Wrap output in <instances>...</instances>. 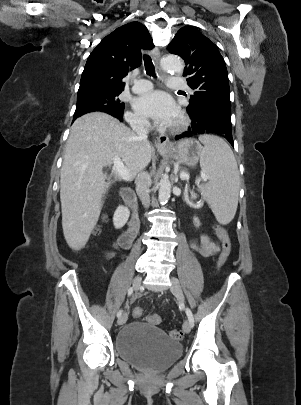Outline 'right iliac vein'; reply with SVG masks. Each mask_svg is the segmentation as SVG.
Segmentation results:
<instances>
[{
  "instance_id": "1",
  "label": "right iliac vein",
  "mask_w": 301,
  "mask_h": 405,
  "mask_svg": "<svg viewBox=\"0 0 301 405\" xmlns=\"http://www.w3.org/2000/svg\"><path fill=\"white\" fill-rule=\"evenodd\" d=\"M141 281H142V278H141L140 276H137V277L134 278V280H133V287H134V290H135V291H137V290L140 288V286H141ZM127 318H128V314H127V313L122 314V315L118 318V321H117L118 324H119V325L125 324V322L127 321Z\"/></svg>"
}]
</instances>
